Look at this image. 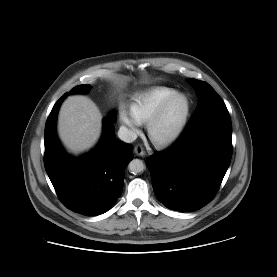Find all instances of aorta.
Listing matches in <instances>:
<instances>
[{"instance_id": "1", "label": "aorta", "mask_w": 277, "mask_h": 277, "mask_svg": "<svg viewBox=\"0 0 277 277\" xmlns=\"http://www.w3.org/2000/svg\"><path fill=\"white\" fill-rule=\"evenodd\" d=\"M145 169V165L142 160L140 159H133L129 163V171L133 174H137L142 172Z\"/></svg>"}]
</instances>
